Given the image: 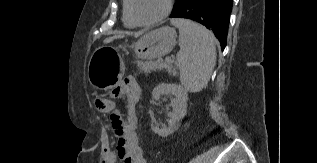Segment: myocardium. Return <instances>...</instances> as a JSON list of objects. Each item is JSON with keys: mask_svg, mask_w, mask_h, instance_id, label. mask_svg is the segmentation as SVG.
Here are the masks:
<instances>
[{"mask_svg": "<svg viewBox=\"0 0 317 163\" xmlns=\"http://www.w3.org/2000/svg\"><path fill=\"white\" fill-rule=\"evenodd\" d=\"M132 2H133V0H127V11H128V15H129L131 21L136 26L155 25V24L161 22L162 20H164L166 17H168V15L171 13L172 8H173V0H165L164 9L159 16H157L151 20L141 21V20L137 19L135 17V15L133 14Z\"/></svg>", "mask_w": 317, "mask_h": 163, "instance_id": "myocardium-1", "label": "myocardium"}]
</instances>
